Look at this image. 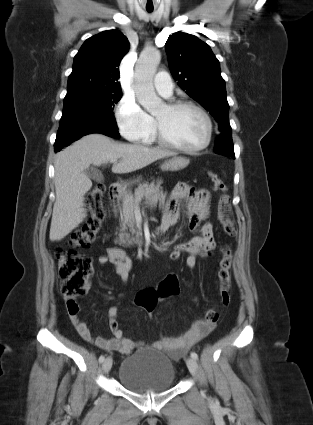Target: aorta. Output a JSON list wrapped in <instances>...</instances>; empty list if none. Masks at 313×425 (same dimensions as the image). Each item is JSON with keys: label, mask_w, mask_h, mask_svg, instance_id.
Returning <instances> with one entry per match:
<instances>
[{"label": "aorta", "mask_w": 313, "mask_h": 425, "mask_svg": "<svg viewBox=\"0 0 313 425\" xmlns=\"http://www.w3.org/2000/svg\"><path fill=\"white\" fill-rule=\"evenodd\" d=\"M161 60L160 52L155 48L145 49L135 66L134 91L138 102L148 112L154 113L162 100L156 95L153 77Z\"/></svg>", "instance_id": "762f6f07"}]
</instances>
